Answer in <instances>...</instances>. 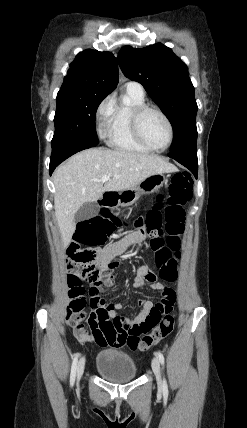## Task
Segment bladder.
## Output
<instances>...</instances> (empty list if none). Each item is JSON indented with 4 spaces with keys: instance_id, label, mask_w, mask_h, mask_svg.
<instances>
[{
    "instance_id": "bladder-1",
    "label": "bladder",
    "mask_w": 247,
    "mask_h": 428,
    "mask_svg": "<svg viewBox=\"0 0 247 428\" xmlns=\"http://www.w3.org/2000/svg\"><path fill=\"white\" fill-rule=\"evenodd\" d=\"M96 370L106 380L113 383H127L137 377L134 359L119 349H105L96 358Z\"/></svg>"
}]
</instances>
